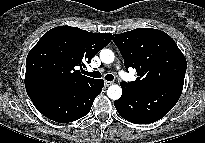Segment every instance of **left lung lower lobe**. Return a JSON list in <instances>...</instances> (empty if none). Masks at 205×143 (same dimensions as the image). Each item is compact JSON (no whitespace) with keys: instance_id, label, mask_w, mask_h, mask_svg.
<instances>
[{"instance_id":"left-lung-lower-lobe-1","label":"left lung lower lobe","mask_w":205,"mask_h":143,"mask_svg":"<svg viewBox=\"0 0 205 143\" xmlns=\"http://www.w3.org/2000/svg\"><path fill=\"white\" fill-rule=\"evenodd\" d=\"M122 96L114 102L121 117L135 124H149L161 119L177 103L183 85L169 84L145 89H132L120 84Z\"/></svg>"}]
</instances>
